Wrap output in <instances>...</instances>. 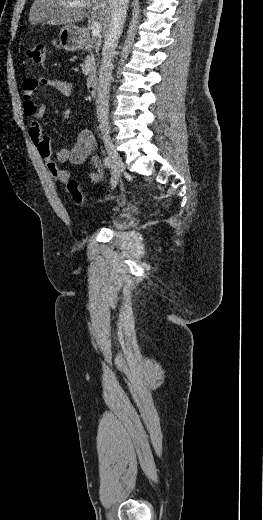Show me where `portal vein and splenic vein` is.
<instances>
[{"label":"portal vein and splenic vein","mask_w":263,"mask_h":520,"mask_svg":"<svg viewBox=\"0 0 263 520\" xmlns=\"http://www.w3.org/2000/svg\"><path fill=\"white\" fill-rule=\"evenodd\" d=\"M69 5L71 7H83V8L86 7V4H84L83 2H80V1L70 2ZM100 32H101V25H100V23L98 21H92V23H91V33H92V36L93 37L99 36Z\"/></svg>","instance_id":"1"}]
</instances>
